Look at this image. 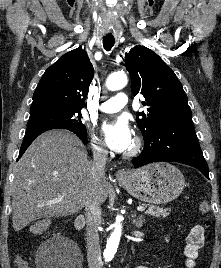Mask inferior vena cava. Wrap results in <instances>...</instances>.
I'll use <instances>...</instances> for the list:
<instances>
[{"label": "inferior vena cava", "mask_w": 221, "mask_h": 268, "mask_svg": "<svg viewBox=\"0 0 221 268\" xmlns=\"http://www.w3.org/2000/svg\"><path fill=\"white\" fill-rule=\"evenodd\" d=\"M107 151H94L91 166V186L85 199V216L87 219V259L89 268H102L101 249L98 228L101 224L100 185L105 177Z\"/></svg>", "instance_id": "obj_1"}]
</instances>
